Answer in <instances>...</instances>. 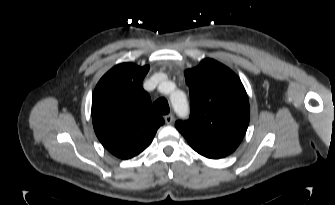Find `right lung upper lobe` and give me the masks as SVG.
I'll list each match as a JSON object with an SVG mask.
<instances>
[{"label":"right lung upper lobe","instance_id":"right-lung-upper-lobe-1","mask_svg":"<svg viewBox=\"0 0 335 205\" xmlns=\"http://www.w3.org/2000/svg\"><path fill=\"white\" fill-rule=\"evenodd\" d=\"M148 70V65H116L100 79L93 93L94 131L102 145L121 159L142 152L164 124L142 88Z\"/></svg>","mask_w":335,"mask_h":205}]
</instances>
